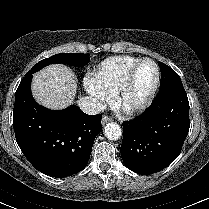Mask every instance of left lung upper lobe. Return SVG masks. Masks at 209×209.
<instances>
[{
  "label": "left lung upper lobe",
  "mask_w": 209,
  "mask_h": 209,
  "mask_svg": "<svg viewBox=\"0 0 209 209\" xmlns=\"http://www.w3.org/2000/svg\"><path fill=\"white\" fill-rule=\"evenodd\" d=\"M161 70L160 90L171 86H183L179 75L169 66L162 62H158Z\"/></svg>",
  "instance_id": "1"
}]
</instances>
